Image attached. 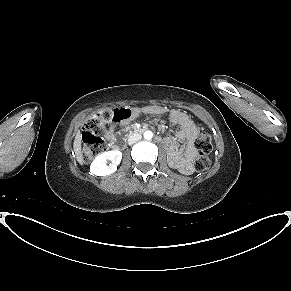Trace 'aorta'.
Listing matches in <instances>:
<instances>
[{
  "instance_id": "1",
  "label": "aorta",
  "mask_w": 291,
  "mask_h": 291,
  "mask_svg": "<svg viewBox=\"0 0 291 291\" xmlns=\"http://www.w3.org/2000/svg\"><path fill=\"white\" fill-rule=\"evenodd\" d=\"M152 137H153V133H152V131L147 130V131L144 132V138H145L146 140H151Z\"/></svg>"
}]
</instances>
